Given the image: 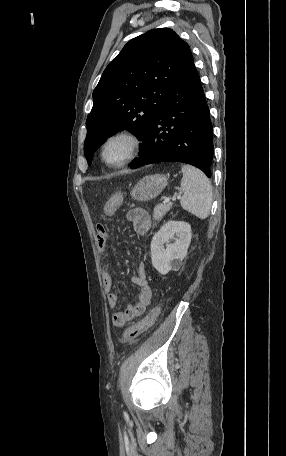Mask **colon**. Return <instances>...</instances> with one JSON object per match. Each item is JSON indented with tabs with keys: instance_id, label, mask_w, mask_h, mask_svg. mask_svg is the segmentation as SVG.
I'll return each mask as SVG.
<instances>
[{
	"instance_id": "colon-1",
	"label": "colon",
	"mask_w": 286,
	"mask_h": 456,
	"mask_svg": "<svg viewBox=\"0 0 286 456\" xmlns=\"http://www.w3.org/2000/svg\"><path fill=\"white\" fill-rule=\"evenodd\" d=\"M121 201L122 197L116 194L110 198L108 203H110L113 206H117L121 203ZM159 312L160 307L157 306L142 320L129 326L123 334V340L129 342L143 335L147 330H149L153 326L156 319L158 318Z\"/></svg>"
}]
</instances>
